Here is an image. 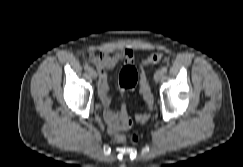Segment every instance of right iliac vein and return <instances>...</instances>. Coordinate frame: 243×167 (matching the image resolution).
<instances>
[{
  "instance_id": "obj_1",
  "label": "right iliac vein",
  "mask_w": 243,
  "mask_h": 167,
  "mask_svg": "<svg viewBox=\"0 0 243 167\" xmlns=\"http://www.w3.org/2000/svg\"><path fill=\"white\" fill-rule=\"evenodd\" d=\"M88 73H89V75L92 77V78H96L97 77V73H96V71L94 70V69H90L89 71H88Z\"/></svg>"
}]
</instances>
